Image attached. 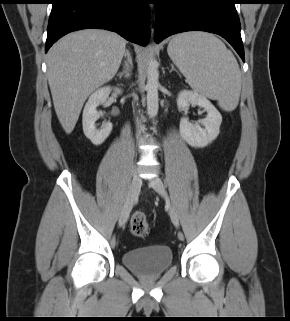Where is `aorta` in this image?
Masks as SVG:
<instances>
[{
	"label": "aorta",
	"mask_w": 290,
	"mask_h": 321,
	"mask_svg": "<svg viewBox=\"0 0 290 321\" xmlns=\"http://www.w3.org/2000/svg\"><path fill=\"white\" fill-rule=\"evenodd\" d=\"M158 88H159V72L158 63L155 59L151 58L148 64L147 70V110L151 118H154L159 109L158 99Z\"/></svg>",
	"instance_id": "762f6f07"
}]
</instances>
